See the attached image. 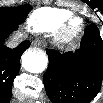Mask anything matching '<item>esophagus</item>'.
<instances>
[{"label":"esophagus","instance_id":"1","mask_svg":"<svg viewBox=\"0 0 103 103\" xmlns=\"http://www.w3.org/2000/svg\"><path fill=\"white\" fill-rule=\"evenodd\" d=\"M33 46L35 47H42L43 46V42L40 40H35L32 42Z\"/></svg>","mask_w":103,"mask_h":103}]
</instances>
